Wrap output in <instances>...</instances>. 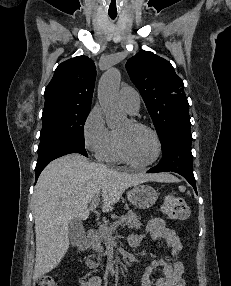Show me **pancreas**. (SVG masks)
Returning <instances> with one entry per match:
<instances>
[{
  "instance_id": "cf45deb5",
  "label": "pancreas",
  "mask_w": 231,
  "mask_h": 286,
  "mask_svg": "<svg viewBox=\"0 0 231 286\" xmlns=\"http://www.w3.org/2000/svg\"><path fill=\"white\" fill-rule=\"evenodd\" d=\"M119 219V221H122L123 226H128V228L131 229H139L141 227L140 218L133 212H129L125 215H122L120 217H116ZM113 223H108V221H105L103 224L100 225L99 229L95 232L94 238H93V249L98 253L97 257L98 260H100V257L103 255L104 247L102 246V243H106L108 238L111 237L110 228L114 225ZM100 265V262H89V267L91 269H95Z\"/></svg>"
}]
</instances>
